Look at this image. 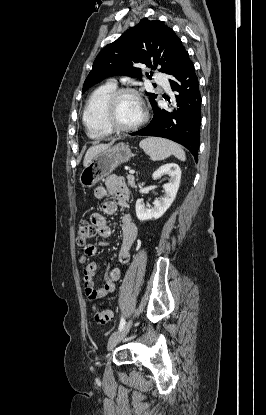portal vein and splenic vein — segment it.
I'll list each match as a JSON object with an SVG mask.
<instances>
[{"label":"portal vein and splenic vein","instance_id":"1","mask_svg":"<svg viewBox=\"0 0 266 415\" xmlns=\"http://www.w3.org/2000/svg\"><path fill=\"white\" fill-rule=\"evenodd\" d=\"M129 173L130 174H134L135 173V170H129Z\"/></svg>","mask_w":266,"mask_h":415}]
</instances>
